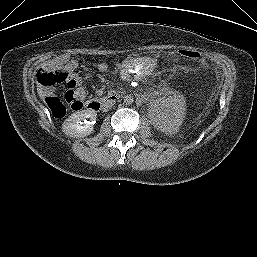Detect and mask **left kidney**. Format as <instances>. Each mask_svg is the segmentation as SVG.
<instances>
[{
  "label": "left kidney",
  "instance_id": "1",
  "mask_svg": "<svg viewBox=\"0 0 257 257\" xmlns=\"http://www.w3.org/2000/svg\"><path fill=\"white\" fill-rule=\"evenodd\" d=\"M186 114L185 98L180 93L169 94L155 101L150 109L153 125L165 133H176Z\"/></svg>",
  "mask_w": 257,
  "mask_h": 257
}]
</instances>
